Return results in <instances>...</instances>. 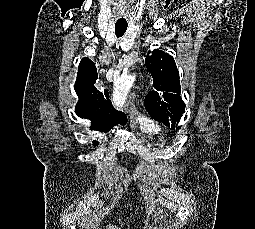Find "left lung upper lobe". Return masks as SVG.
<instances>
[{
    "instance_id": "1",
    "label": "left lung upper lobe",
    "mask_w": 255,
    "mask_h": 229,
    "mask_svg": "<svg viewBox=\"0 0 255 229\" xmlns=\"http://www.w3.org/2000/svg\"><path fill=\"white\" fill-rule=\"evenodd\" d=\"M145 65L153 78L154 90L146 95L144 106L153 119L174 127L185 111L175 60L164 51L155 49L151 56L146 57Z\"/></svg>"
}]
</instances>
